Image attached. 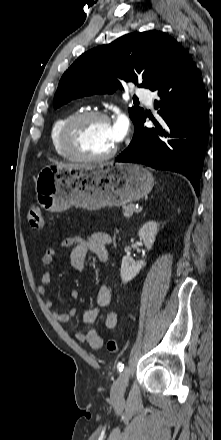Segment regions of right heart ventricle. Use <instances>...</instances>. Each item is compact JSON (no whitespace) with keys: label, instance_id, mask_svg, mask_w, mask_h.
I'll use <instances>...</instances> for the list:
<instances>
[{"label":"right heart ventricle","instance_id":"right-heart-ventricle-1","mask_svg":"<svg viewBox=\"0 0 221 440\" xmlns=\"http://www.w3.org/2000/svg\"><path fill=\"white\" fill-rule=\"evenodd\" d=\"M74 114H76V113L69 112V113H66V114L58 117L53 122V124L51 126V130H50V142H51L52 149L59 156H61L63 158H68V159H70V157L65 153V151L63 150L62 145H61V131H62V128H63L64 124L66 123V121Z\"/></svg>","mask_w":221,"mask_h":440}]
</instances>
